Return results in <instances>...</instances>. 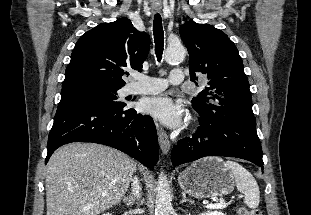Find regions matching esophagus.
<instances>
[{"label": "esophagus", "mask_w": 311, "mask_h": 215, "mask_svg": "<svg viewBox=\"0 0 311 215\" xmlns=\"http://www.w3.org/2000/svg\"><path fill=\"white\" fill-rule=\"evenodd\" d=\"M161 8L159 6H154L153 7V10L155 12H158ZM156 128H157V134H158V140H159V145H160V148L162 150V153L163 154H168L169 150H170V141H169V138H168V135L167 133L164 131V129L159 126L157 123H156Z\"/></svg>", "instance_id": "1"}]
</instances>
